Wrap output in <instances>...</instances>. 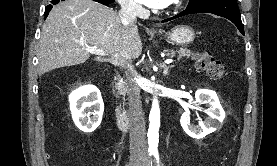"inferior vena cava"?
Wrapping results in <instances>:
<instances>
[{
    "instance_id": "602c4592",
    "label": "inferior vena cava",
    "mask_w": 277,
    "mask_h": 166,
    "mask_svg": "<svg viewBox=\"0 0 277 166\" xmlns=\"http://www.w3.org/2000/svg\"><path fill=\"white\" fill-rule=\"evenodd\" d=\"M138 8L129 0H121V10L119 16L121 22L124 26L130 24H135L136 15ZM124 56L129 59L127 53H124ZM130 71L132 75H135L136 72L133 70L131 65ZM128 100H129V116H130V154L132 158L136 157H146L147 155V146H146V133H145V123L142 117V103L140 100V89L135 82V79L131 78L128 84Z\"/></svg>"
}]
</instances>
